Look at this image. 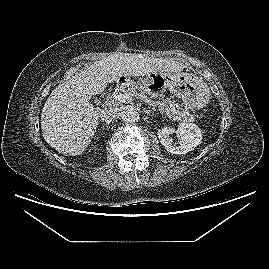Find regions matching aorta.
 Masks as SVG:
<instances>
[{"label":"aorta","mask_w":269,"mask_h":269,"mask_svg":"<svg viewBox=\"0 0 269 269\" xmlns=\"http://www.w3.org/2000/svg\"><path fill=\"white\" fill-rule=\"evenodd\" d=\"M122 118L127 123H134L139 120L140 114L136 109L130 108L123 113Z\"/></svg>","instance_id":"aorta-1"}]
</instances>
